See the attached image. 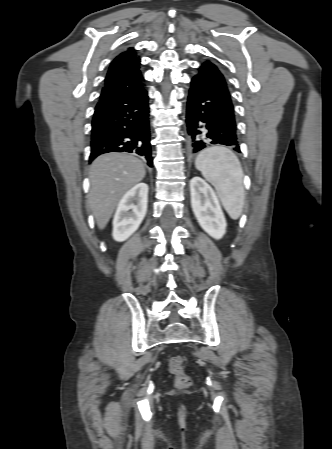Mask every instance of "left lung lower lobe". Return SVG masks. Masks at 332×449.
Listing matches in <instances>:
<instances>
[{
	"label": "left lung lower lobe",
	"mask_w": 332,
	"mask_h": 449,
	"mask_svg": "<svg viewBox=\"0 0 332 449\" xmlns=\"http://www.w3.org/2000/svg\"><path fill=\"white\" fill-rule=\"evenodd\" d=\"M186 124L190 153L213 144L229 146L240 152L227 82L218 67L209 61L203 63L192 77Z\"/></svg>",
	"instance_id": "1"
}]
</instances>
